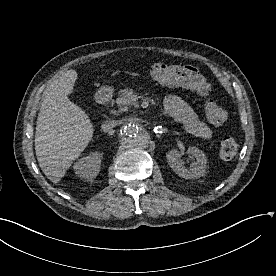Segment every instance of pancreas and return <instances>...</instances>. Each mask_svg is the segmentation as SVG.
I'll list each match as a JSON object with an SVG mask.
<instances>
[{
  "instance_id": "obj_1",
  "label": "pancreas",
  "mask_w": 276,
  "mask_h": 276,
  "mask_svg": "<svg viewBox=\"0 0 276 276\" xmlns=\"http://www.w3.org/2000/svg\"><path fill=\"white\" fill-rule=\"evenodd\" d=\"M134 97V92L132 89L126 88L120 90L118 93V98L116 99V103L118 105V112L126 111L129 106L133 103L132 98Z\"/></svg>"
}]
</instances>
